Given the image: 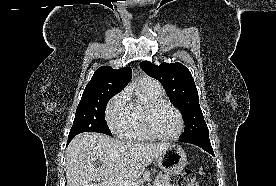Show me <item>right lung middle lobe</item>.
<instances>
[{"mask_svg": "<svg viewBox=\"0 0 276 186\" xmlns=\"http://www.w3.org/2000/svg\"><path fill=\"white\" fill-rule=\"evenodd\" d=\"M117 93L114 91L83 92L69 136H76L83 132L112 135L105 120V108L110 98Z\"/></svg>", "mask_w": 276, "mask_h": 186, "instance_id": "obj_1", "label": "right lung middle lobe"}]
</instances>
